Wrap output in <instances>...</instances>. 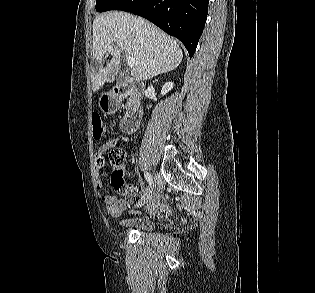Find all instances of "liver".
I'll list each match as a JSON object with an SVG mask.
<instances>
[{"instance_id": "1", "label": "liver", "mask_w": 315, "mask_h": 293, "mask_svg": "<svg viewBox=\"0 0 315 293\" xmlns=\"http://www.w3.org/2000/svg\"><path fill=\"white\" fill-rule=\"evenodd\" d=\"M114 43L113 50H108ZM108 52L112 59L92 76L94 91L118 75L122 53L134 59L131 76L138 82L174 70L183 58L175 39L149 21L124 12L104 13L93 21V59L101 62Z\"/></svg>"}]
</instances>
